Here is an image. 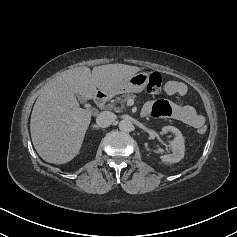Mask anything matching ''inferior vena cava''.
<instances>
[{
  "mask_svg": "<svg viewBox=\"0 0 237 237\" xmlns=\"http://www.w3.org/2000/svg\"><path fill=\"white\" fill-rule=\"evenodd\" d=\"M115 118L116 116L114 113L103 111L97 116L96 123L99 127L105 128L110 126L114 122Z\"/></svg>",
  "mask_w": 237,
  "mask_h": 237,
  "instance_id": "1",
  "label": "inferior vena cava"
}]
</instances>
